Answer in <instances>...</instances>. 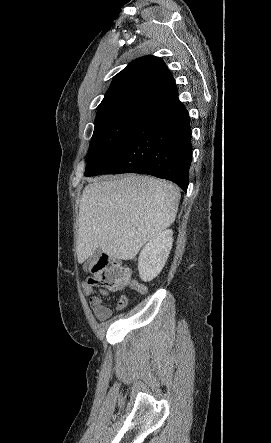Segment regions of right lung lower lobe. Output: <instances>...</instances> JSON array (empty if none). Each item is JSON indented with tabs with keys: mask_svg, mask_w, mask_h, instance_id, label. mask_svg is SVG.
Segmentation results:
<instances>
[{
	"mask_svg": "<svg viewBox=\"0 0 271 443\" xmlns=\"http://www.w3.org/2000/svg\"><path fill=\"white\" fill-rule=\"evenodd\" d=\"M191 159L189 114L177 95L143 113L109 161L90 176L149 174L173 181L186 192Z\"/></svg>",
	"mask_w": 271,
	"mask_h": 443,
	"instance_id": "1",
	"label": "right lung lower lobe"
}]
</instances>
